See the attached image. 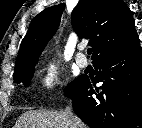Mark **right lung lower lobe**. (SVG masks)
<instances>
[{
	"label": "right lung lower lobe",
	"mask_w": 142,
	"mask_h": 128,
	"mask_svg": "<svg viewBox=\"0 0 142 128\" xmlns=\"http://www.w3.org/2000/svg\"><path fill=\"white\" fill-rule=\"evenodd\" d=\"M92 88L82 77L71 95L74 112L91 128H142V48L139 42L115 55L96 60Z\"/></svg>",
	"instance_id": "right-lung-lower-lobe-1"
}]
</instances>
